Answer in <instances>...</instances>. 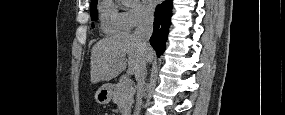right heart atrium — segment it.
Segmentation results:
<instances>
[{
  "label": "right heart atrium",
  "instance_id": "d8ad5b80",
  "mask_svg": "<svg viewBox=\"0 0 285 115\" xmlns=\"http://www.w3.org/2000/svg\"><path fill=\"white\" fill-rule=\"evenodd\" d=\"M122 14L126 31L146 26L153 18L152 12L142 4H134L126 8Z\"/></svg>",
  "mask_w": 285,
  "mask_h": 115
}]
</instances>
